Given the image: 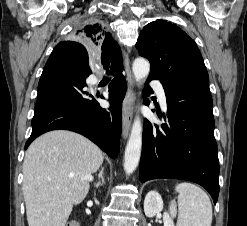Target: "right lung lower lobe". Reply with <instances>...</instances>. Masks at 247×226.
<instances>
[{
	"instance_id": "obj_1",
	"label": "right lung lower lobe",
	"mask_w": 247,
	"mask_h": 226,
	"mask_svg": "<svg viewBox=\"0 0 247 226\" xmlns=\"http://www.w3.org/2000/svg\"><path fill=\"white\" fill-rule=\"evenodd\" d=\"M109 70L114 79L109 85L108 112L85 89V80L92 73L86 48L74 41L58 43L38 84L33 129L25 149L39 135L65 129L84 135L115 159L120 150L121 104L127 85L123 68Z\"/></svg>"
}]
</instances>
